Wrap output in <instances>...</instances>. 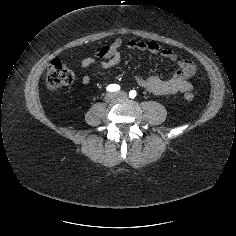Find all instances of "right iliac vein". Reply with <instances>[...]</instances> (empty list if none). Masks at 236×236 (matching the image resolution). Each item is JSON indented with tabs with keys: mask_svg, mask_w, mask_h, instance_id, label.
Returning <instances> with one entry per match:
<instances>
[{
	"mask_svg": "<svg viewBox=\"0 0 236 236\" xmlns=\"http://www.w3.org/2000/svg\"><path fill=\"white\" fill-rule=\"evenodd\" d=\"M117 98L116 94L114 93H107L104 97L105 102L111 103Z\"/></svg>",
	"mask_w": 236,
	"mask_h": 236,
	"instance_id": "1",
	"label": "right iliac vein"
}]
</instances>
